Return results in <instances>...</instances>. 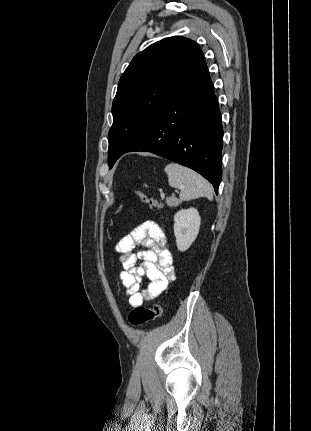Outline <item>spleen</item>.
<instances>
[{
    "mask_svg": "<svg viewBox=\"0 0 311 431\" xmlns=\"http://www.w3.org/2000/svg\"><path fill=\"white\" fill-rule=\"evenodd\" d=\"M168 176V184L171 188H180V198L183 202L196 200V198H208L213 200L212 186L202 176L179 166V164H168L165 168Z\"/></svg>",
    "mask_w": 311,
    "mask_h": 431,
    "instance_id": "3e777b00",
    "label": "spleen"
}]
</instances>
